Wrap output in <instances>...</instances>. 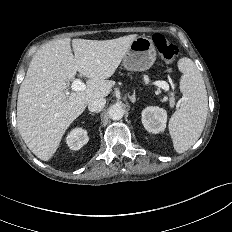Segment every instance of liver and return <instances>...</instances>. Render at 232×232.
I'll return each instance as SVG.
<instances>
[{"label": "liver", "instance_id": "liver-1", "mask_svg": "<svg viewBox=\"0 0 232 232\" xmlns=\"http://www.w3.org/2000/svg\"><path fill=\"white\" fill-rule=\"evenodd\" d=\"M136 38V34L112 40L64 38L52 40L36 52L17 101L18 130L35 156L50 160L65 131L90 100L108 96L115 84L108 79ZM77 72L88 78L86 88L69 93L66 82Z\"/></svg>", "mask_w": 232, "mask_h": 232}]
</instances>
